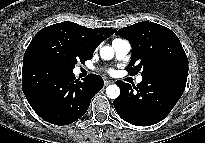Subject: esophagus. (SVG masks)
<instances>
[{
    "mask_svg": "<svg viewBox=\"0 0 205 143\" xmlns=\"http://www.w3.org/2000/svg\"><path fill=\"white\" fill-rule=\"evenodd\" d=\"M111 83H112L111 80H108V79H105V80H104V85H105V86H107V85H109V84H111Z\"/></svg>",
    "mask_w": 205,
    "mask_h": 143,
    "instance_id": "1",
    "label": "esophagus"
}]
</instances>
